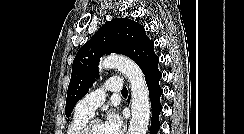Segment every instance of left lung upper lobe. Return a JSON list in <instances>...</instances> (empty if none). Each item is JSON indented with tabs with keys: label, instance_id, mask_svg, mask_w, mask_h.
<instances>
[{
	"label": "left lung upper lobe",
	"instance_id": "1",
	"mask_svg": "<svg viewBox=\"0 0 244 134\" xmlns=\"http://www.w3.org/2000/svg\"><path fill=\"white\" fill-rule=\"evenodd\" d=\"M118 53L134 60L145 75V80L158 70L159 57L154 42L139 23L128 19H112L77 52L68 86L65 113L69 117L76 103L85 96L98 76V63L104 54Z\"/></svg>",
	"mask_w": 244,
	"mask_h": 134
}]
</instances>
